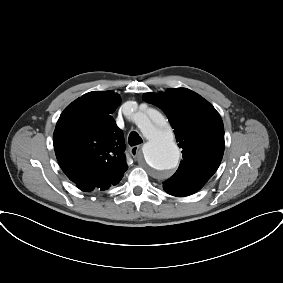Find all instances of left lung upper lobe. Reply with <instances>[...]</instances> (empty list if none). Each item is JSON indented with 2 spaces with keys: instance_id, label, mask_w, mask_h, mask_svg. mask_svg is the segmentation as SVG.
Wrapping results in <instances>:
<instances>
[{
  "instance_id": "5c2ea615",
  "label": "left lung upper lobe",
  "mask_w": 283,
  "mask_h": 283,
  "mask_svg": "<svg viewBox=\"0 0 283 283\" xmlns=\"http://www.w3.org/2000/svg\"><path fill=\"white\" fill-rule=\"evenodd\" d=\"M144 99L165 112L182 148L183 160L163 188H202L218 169L224 153V126L219 113L186 88L146 93Z\"/></svg>"
}]
</instances>
